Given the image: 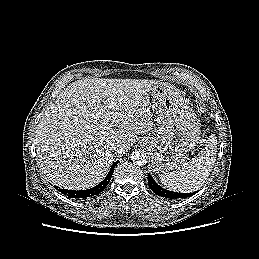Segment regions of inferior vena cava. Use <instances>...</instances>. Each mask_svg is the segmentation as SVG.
I'll list each match as a JSON object with an SVG mask.
<instances>
[{"label": "inferior vena cava", "mask_w": 259, "mask_h": 259, "mask_svg": "<svg viewBox=\"0 0 259 259\" xmlns=\"http://www.w3.org/2000/svg\"><path fill=\"white\" fill-rule=\"evenodd\" d=\"M120 147H121V145L119 143L111 144V150L112 151H117Z\"/></svg>", "instance_id": "1"}]
</instances>
